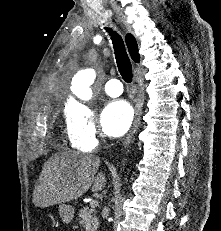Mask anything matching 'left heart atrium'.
<instances>
[{
  "instance_id": "1",
  "label": "left heart atrium",
  "mask_w": 221,
  "mask_h": 231,
  "mask_svg": "<svg viewBox=\"0 0 221 231\" xmlns=\"http://www.w3.org/2000/svg\"><path fill=\"white\" fill-rule=\"evenodd\" d=\"M132 118L133 112L127 102L112 101L106 105L102 112L101 125L106 134L118 137L128 130Z\"/></svg>"
}]
</instances>
